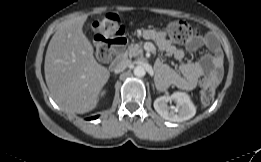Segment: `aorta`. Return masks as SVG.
Returning <instances> with one entry per match:
<instances>
[{"label":"aorta","instance_id":"1","mask_svg":"<svg viewBox=\"0 0 261 162\" xmlns=\"http://www.w3.org/2000/svg\"><path fill=\"white\" fill-rule=\"evenodd\" d=\"M133 73L137 77H143L145 75V69L142 66H136Z\"/></svg>","mask_w":261,"mask_h":162}]
</instances>
